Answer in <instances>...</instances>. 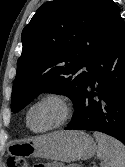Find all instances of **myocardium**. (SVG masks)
<instances>
[{"instance_id":"1","label":"myocardium","mask_w":125,"mask_h":167,"mask_svg":"<svg viewBox=\"0 0 125 167\" xmlns=\"http://www.w3.org/2000/svg\"><path fill=\"white\" fill-rule=\"evenodd\" d=\"M46 102H53L59 107L60 110L59 116L57 120L51 125L42 129H34L30 124L31 113L36 107ZM71 115H72V106L68 98L61 93L50 92L42 95L29 106L26 112V124L28 128L35 133H46L64 125L69 120Z\"/></svg>"}]
</instances>
